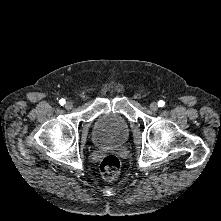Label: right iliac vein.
<instances>
[{"label":"right iliac vein","mask_w":221,"mask_h":221,"mask_svg":"<svg viewBox=\"0 0 221 221\" xmlns=\"http://www.w3.org/2000/svg\"><path fill=\"white\" fill-rule=\"evenodd\" d=\"M65 108H66L67 110H71V109L73 108V103L70 102V101L66 102Z\"/></svg>","instance_id":"right-iliac-vein-1"}]
</instances>
